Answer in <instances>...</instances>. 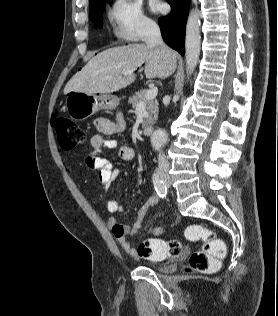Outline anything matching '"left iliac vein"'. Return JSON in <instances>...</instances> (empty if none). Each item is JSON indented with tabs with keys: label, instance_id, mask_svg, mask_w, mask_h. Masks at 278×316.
Masks as SVG:
<instances>
[{
	"label": "left iliac vein",
	"instance_id": "1",
	"mask_svg": "<svg viewBox=\"0 0 278 316\" xmlns=\"http://www.w3.org/2000/svg\"><path fill=\"white\" fill-rule=\"evenodd\" d=\"M165 183H166V185H167L168 187H170V182H169V180H165Z\"/></svg>",
	"mask_w": 278,
	"mask_h": 316
}]
</instances>
